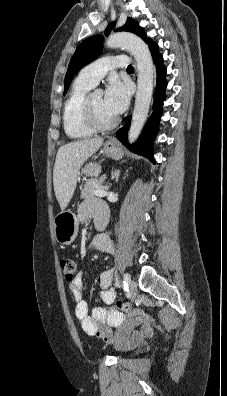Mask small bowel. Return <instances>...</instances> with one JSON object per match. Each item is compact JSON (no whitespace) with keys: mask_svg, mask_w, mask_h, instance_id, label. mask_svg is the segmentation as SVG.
Returning <instances> with one entry per match:
<instances>
[{"mask_svg":"<svg viewBox=\"0 0 227 396\" xmlns=\"http://www.w3.org/2000/svg\"><path fill=\"white\" fill-rule=\"evenodd\" d=\"M78 215L82 221L93 218L96 222L99 217L108 216V209L101 200L91 199L80 206ZM91 248L112 252L114 245L108 234H100L94 238ZM113 283L114 271L112 269L105 270L100 274L99 284L101 290L99 298L103 304L111 307H95L91 314H89L88 304L83 297V273H78L69 283V290L75 301L74 313L84 332L119 346L133 345L150 337L153 329L147 316L136 311H130L129 313L132 317L127 319L125 314L127 308L125 305L120 309L114 307L117 294ZM113 327L118 328L115 334L110 331Z\"/></svg>","mask_w":227,"mask_h":396,"instance_id":"obj_1","label":"small bowel"}]
</instances>
